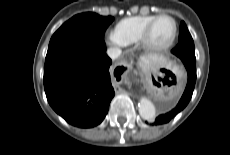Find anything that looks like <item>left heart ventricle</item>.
<instances>
[{
    "instance_id": "left-heart-ventricle-1",
    "label": "left heart ventricle",
    "mask_w": 230,
    "mask_h": 155,
    "mask_svg": "<svg viewBox=\"0 0 230 155\" xmlns=\"http://www.w3.org/2000/svg\"><path fill=\"white\" fill-rule=\"evenodd\" d=\"M173 22L168 18L158 20L151 31L150 40L155 45H163L167 43L173 33Z\"/></svg>"
}]
</instances>
